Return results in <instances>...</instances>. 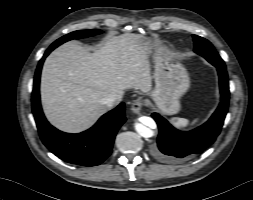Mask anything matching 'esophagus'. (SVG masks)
I'll list each match as a JSON object with an SVG mask.
<instances>
[{
    "label": "esophagus",
    "mask_w": 253,
    "mask_h": 200,
    "mask_svg": "<svg viewBox=\"0 0 253 200\" xmlns=\"http://www.w3.org/2000/svg\"><path fill=\"white\" fill-rule=\"evenodd\" d=\"M143 107V100L138 99L131 105V111L135 114H140Z\"/></svg>",
    "instance_id": "obj_1"
}]
</instances>
